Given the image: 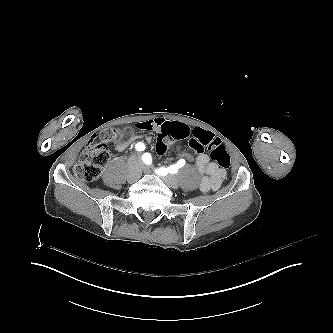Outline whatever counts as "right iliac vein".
<instances>
[{"label": "right iliac vein", "instance_id": "obj_1", "mask_svg": "<svg viewBox=\"0 0 333 333\" xmlns=\"http://www.w3.org/2000/svg\"><path fill=\"white\" fill-rule=\"evenodd\" d=\"M128 175L127 180L132 183L137 181L140 178L141 175V169L138 164V159L136 157H131L128 160Z\"/></svg>", "mask_w": 333, "mask_h": 333}]
</instances>
